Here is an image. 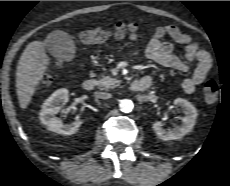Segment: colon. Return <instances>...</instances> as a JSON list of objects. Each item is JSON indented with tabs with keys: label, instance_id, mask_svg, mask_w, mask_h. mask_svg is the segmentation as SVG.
<instances>
[{
	"label": "colon",
	"instance_id": "1",
	"mask_svg": "<svg viewBox=\"0 0 230 186\" xmlns=\"http://www.w3.org/2000/svg\"><path fill=\"white\" fill-rule=\"evenodd\" d=\"M139 36V29L135 24H125L117 22L111 29H89L78 35V41L82 44L91 45L103 43L109 39H123L129 37L136 39ZM44 84L49 82V78L44 76L42 79ZM219 85L215 81H208L203 87L204 100L208 105L217 102L219 96Z\"/></svg>",
	"mask_w": 230,
	"mask_h": 186
}]
</instances>
